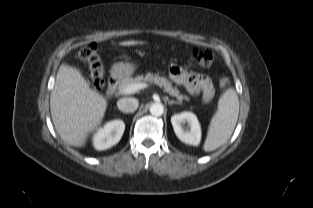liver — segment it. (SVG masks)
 Returning <instances> with one entry per match:
<instances>
[{
  "mask_svg": "<svg viewBox=\"0 0 313 208\" xmlns=\"http://www.w3.org/2000/svg\"><path fill=\"white\" fill-rule=\"evenodd\" d=\"M144 44L124 41L120 46ZM107 109L106 99L92 90L75 67L62 64L50 95V111L54 127L68 145L83 147L88 135L102 122Z\"/></svg>",
  "mask_w": 313,
  "mask_h": 208,
  "instance_id": "liver-1",
  "label": "liver"
}]
</instances>
